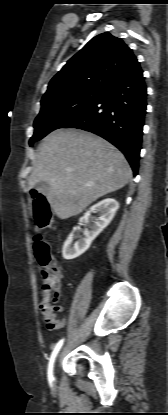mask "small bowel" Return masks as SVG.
Listing matches in <instances>:
<instances>
[{
  "instance_id": "small-bowel-1",
  "label": "small bowel",
  "mask_w": 168,
  "mask_h": 415,
  "mask_svg": "<svg viewBox=\"0 0 168 415\" xmlns=\"http://www.w3.org/2000/svg\"><path fill=\"white\" fill-rule=\"evenodd\" d=\"M42 301L39 305L40 311L45 319L47 327L50 330L62 328L66 321L63 318L57 316V312H62L61 306L53 305L59 300V287H51L48 284H44L42 287Z\"/></svg>"
}]
</instances>
